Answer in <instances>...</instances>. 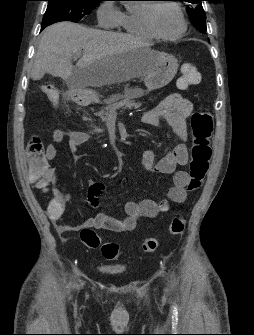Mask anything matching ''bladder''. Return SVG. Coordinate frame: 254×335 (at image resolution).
I'll use <instances>...</instances> for the list:
<instances>
[{"mask_svg": "<svg viewBox=\"0 0 254 335\" xmlns=\"http://www.w3.org/2000/svg\"><path fill=\"white\" fill-rule=\"evenodd\" d=\"M99 270L105 274H110V275H114V274H122L124 273V269L123 268H118V267H109V266H101L99 268Z\"/></svg>", "mask_w": 254, "mask_h": 335, "instance_id": "obj_1", "label": "bladder"}]
</instances>
